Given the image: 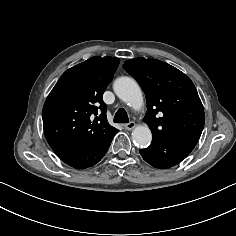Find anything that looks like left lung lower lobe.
I'll return each mask as SVG.
<instances>
[{"mask_svg":"<svg viewBox=\"0 0 236 236\" xmlns=\"http://www.w3.org/2000/svg\"><path fill=\"white\" fill-rule=\"evenodd\" d=\"M197 142L195 139L184 138L152 140L149 148L141 149L140 154L150 165L167 169L184 160Z\"/></svg>","mask_w":236,"mask_h":236,"instance_id":"1","label":"left lung lower lobe"}]
</instances>
